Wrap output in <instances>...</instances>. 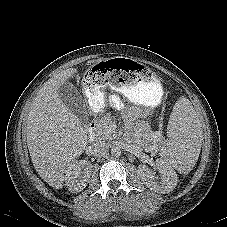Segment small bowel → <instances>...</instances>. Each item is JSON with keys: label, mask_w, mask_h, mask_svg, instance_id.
Masks as SVG:
<instances>
[{"label": "small bowel", "mask_w": 227, "mask_h": 227, "mask_svg": "<svg viewBox=\"0 0 227 227\" xmlns=\"http://www.w3.org/2000/svg\"><path fill=\"white\" fill-rule=\"evenodd\" d=\"M118 102H119L118 99H116V98H113V99H112V103H113V104H116V103H118Z\"/></svg>", "instance_id": "c3829d8e"}]
</instances>
